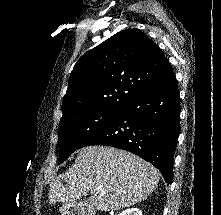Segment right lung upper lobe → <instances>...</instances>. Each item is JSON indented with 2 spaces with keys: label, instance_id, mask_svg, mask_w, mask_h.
Returning <instances> with one entry per match:
<instances>
[{
  "label": "right lung upper lobe",
  "instance_id": "1",
  "mask_svg": "<svg viewBox=\"0 0 221 215\" xmlns=\"http://www.w3.org/2000/svg\"><path fill=\"white\" fill-rule=\"evenodd\" d=\"M173 73L160 48L138 29H126L84 54L64 96L63 117L82 110L121 111Z\"/></svg>",
  "mask_w": 221,
  "mask_h": 215
}]
</instances>
